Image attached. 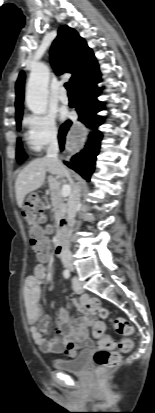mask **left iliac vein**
<instances>
[{
    "mask_svg": "<svg viewBox=\"0 0 155 413\" xmlns=\"http://www.w3.org/2000/svg\"><path fill=\"white\" fill-rule=\"evenodd\" d=\"M73 290L77 294H81L83 292L82 285L80 284V282L76 278L73 280Z\"/></svg>",
    "mask_w": 155,
    "mask_h": 413,
    "instance_id": "4c4485c4",
    "label": "left iliac vein"
}]
</instances>
